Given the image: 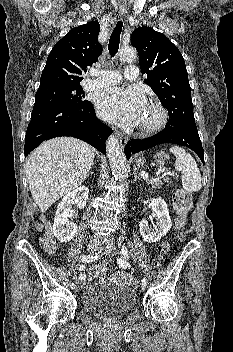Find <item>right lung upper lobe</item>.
Returning a JSON list of instances; mask_svg holds the SVG:
<instances>
[{
    "label": "right lung upper lobe",
    "instance_id": "cb5924a9",
    "mask_svg": "<svg viewBox=\"0 0 233 352\" xmlns=\"http://www.w3.org/2000/svg\"><path fill=\"white\" fill-rule=\"evenodd\" d=\"M97 21L70 30L52 48L40 78V87L51 84L80 85L87 66L102 54Z\"/></svg>",
    "mask_w": 233,
    "mask_h": 352
}]
</instances>
